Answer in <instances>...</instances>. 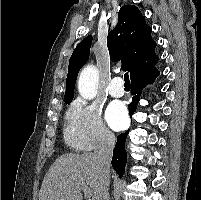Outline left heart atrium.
Wrapping results in <instances>:
<instances>
[{"mask_svg": "<svg viewBox=\"0 0 201 200\" xmlns=\"http://www.w3.org/2000/svg\"><path fill=\"white\" fill-rule=\"evenodd\" d=\"M108 124L115 130H120L127 123V112L125 106L120 102H113L106 112Z\"/></svg>", "mask_w": 201, "mask_h": 200, "instance_id": "1", "label": "left heart atrium"}]
</instances>
